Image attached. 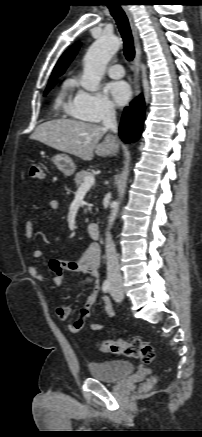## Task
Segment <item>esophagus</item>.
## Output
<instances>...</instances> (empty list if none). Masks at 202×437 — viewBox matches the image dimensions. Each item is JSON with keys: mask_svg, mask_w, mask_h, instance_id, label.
Here are the masks:
<instances>
[{"mask_svg": "<svg viewBox=\"0 0 202 437\" xmlns=\"http://www.w3.org/2000/svg\"><path fill=\"white\" fill-rule=\"evenodd\" d=\"M123 10L128 18L130 27H131V31H132V35H133V39H134V44H135V59H134V64H133V79H134V89H135V94L138 95L140 93V84H139V74H140V59H141V47H140V42H139V37H138V29L137 26L134 22V18L133 15L131 13V11L129 10V8L127 6H123Z\"/></svg>", "mask_w": 202, "mask_h": 437, "instance_id": "obj_1", "label": "esophagus"}]
</instances>
